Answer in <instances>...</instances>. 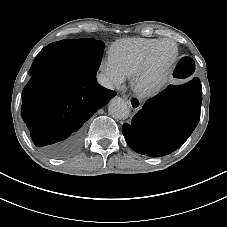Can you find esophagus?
I'll list each match as a JSON object with an SVG mask.
<instances>
[{
	"label": "esophagus",
	"instance_id": "obj_1",
	"mask_svg": "<svg viewBox=\"0 0 227 227\" xmlns=\"http://www.w3.org/2000/svg\"><path fill=\"white\" fill-rule=\"evenodd\" d=\"M122 97L128 102L129 106L134 110L137 111L141 108V101L137 98L128 96L126 94H122Z\"/></svg>",
	"mask_w": 227,
	"mask_h": 227
}]
</instances>
